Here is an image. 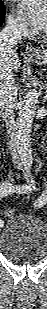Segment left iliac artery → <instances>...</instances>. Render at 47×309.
Here are the masks:
<instances>
[{
    "instance_id": "44dca946",
    "label": "left iliac artery",
    "mask_w": 47,
    "mask_h": 309,
    "mask_svg": "<svg viewBox=\"0 0 47 309\" xmlns=\"http://www.w3.org/2000/svg\"><path fill=\"white\" fill-rule=\"evenodd\" d=\"M46 196H42L38 201L35 203V207H41L46 203Z\"/></svg>"
}]
</instances>
